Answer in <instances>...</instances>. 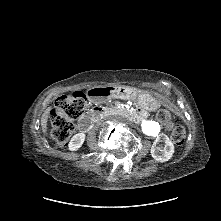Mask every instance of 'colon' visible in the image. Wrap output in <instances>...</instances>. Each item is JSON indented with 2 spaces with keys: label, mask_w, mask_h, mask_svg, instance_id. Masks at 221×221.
<instances>
[{
  "label": "colon",
  "mask_w": 221,
  "mask_h": 221,
  "mask_svg": "<svg viewBox=\"0 0 221 221\" xmlns=\"http://www.w3.org/2000/svg\"><path fill=\"white\" fill-rule=\"evenodd\" d=\"M86 97L83 93H74L61 97L53 112L52 127L53 136L59 145H66L74 131V120L77 119L86 108ZM157 119L166 126L172 141L181 145L185 139V129L180 124L171 121L170 112L161 109L157 113Z\"/></svg>",
  "instance_id": "5ec220e1"
}]
</instances>
